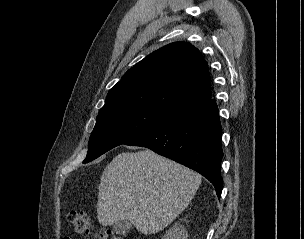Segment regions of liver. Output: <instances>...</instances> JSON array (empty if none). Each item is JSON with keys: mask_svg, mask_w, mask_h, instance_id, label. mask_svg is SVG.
I'll list each match as a JSON object with an SVG mask.
<instances>
[{"mask_svg": "<svg viewBox=\"0 0 304 239\" xmlns=\"http://www.w3.org/2000/svg\"><path fill=\"white\" fill-rule=\"evenodd\" d=\"M201 176L146 149L123 152L104 169L97 217L103 226L127 220L142 234L166 228L193 199Z\"/></svg>", "mask_w": 304, "mask_h": 239, "instance_id": "liver-1", "label": "liver"}]
</instances>
